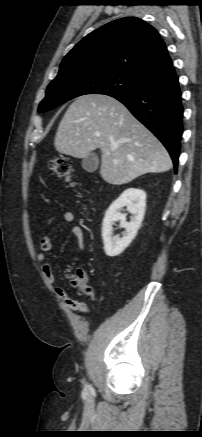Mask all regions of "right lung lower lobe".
<instances>
[{"label":"right lung lower lobe","instance_id":"98d812e1","mask_svg":"<svg viewBox=\"0 0 202 437\" xmlns=\"http://www.w3.org/2000/svg\"><path fill=\"white\" fill-rule=\"evenodd\" d=\"M173 65L152 75L133 92L112 95L166 147L177 171L183 132V105Z\"/></svg>","mask_w":202,"mask_h":437}]
</instances>
